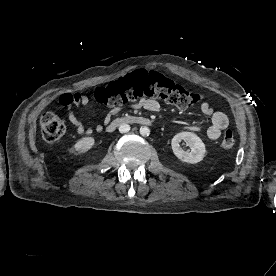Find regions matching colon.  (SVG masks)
<instances>
[{
	"instance_id": "colon-1",
	"label": "colon",
	"mask_w": 276,
	"mask_h": 276,
	"mask_svg": "<svg viewBox=\"0 0 276 276\" xmlns=\"http://www.w3.org/2000/svg\"><path fill=\"white\" fill-rule=\"evenodd\" d=\"M94 98L108 106L121 105L140 98L162 99L180 108L191 107L203 100L201 94L186 90L162 74L142 69L106 87L97 88ZM41 130L46 141L54 142L65 134L66 128L58 116L46 113L41 118ZM234 145L233 133L226 131L220 140L221 149L230 151Z\"/></svg>"
}]
</instances>
